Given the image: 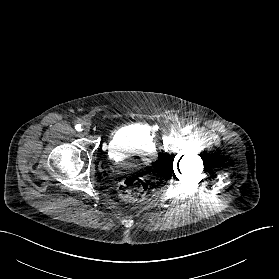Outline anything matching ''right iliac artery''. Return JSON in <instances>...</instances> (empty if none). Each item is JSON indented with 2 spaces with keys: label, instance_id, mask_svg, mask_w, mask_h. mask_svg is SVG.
<instances>
[{
  "label": "right iliac artery",
  "instance_id": "obj_1",
  "mask_svg": "<svg viewBox=\"0 0 279 279\" xmlns=\"http://www.w3.org/2000/svg\"><path fill=\"white\" fill-rule=\"evenodd\" d=\"M75 129H76L77 131H81V130H82V126H81L80 124H77V125L75 126Z\"/></svg>",
  "mask_w": 279,
  "mask_h": 279
}]
</instances>
